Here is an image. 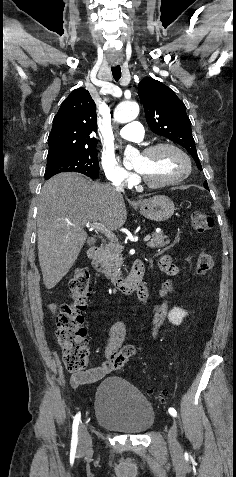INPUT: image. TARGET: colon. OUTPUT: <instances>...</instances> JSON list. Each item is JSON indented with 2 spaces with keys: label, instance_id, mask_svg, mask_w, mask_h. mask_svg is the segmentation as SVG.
Masks as SVG:
<instances>
[{
  "label": "colon",
  "instance_id": "5ec220e1",
  "mask_svg": "<svg viewBox=\"0 0 236 477\" xmlns=\"http://www.w3.org/2000/svg\"><path fill=\"white\" fill-rule=\"evenodd\" d=\"M191 224L195 232L204 233L213 227V220L208 214L196 211L192 213ZM213 267V256L206 252L200 253L196 263L197 273L200 276H206ZM69 291L70 303L63 304L56 316V338L63 350V362L66 368L71 372H81L86 368L88 361L83 314L92 293L91 277L86 268L77 267L74 270L69 280ZM131 356L120 353L113 360V368L121 369Z\"/></svg>",
  "mask_w": 236,
  "mask_h": 477
}]
</instances>
